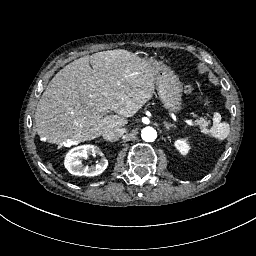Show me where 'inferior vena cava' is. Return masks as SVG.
Masks as SVG:
<instances>
[{
  "instance_id": "inferior-vena-cava-1",
  "label": "inferior vena cava",
  "mask_w": 256,
  "mask_h": 256,
  "mask_svg": "<svg viewBox=\"0 0 256 256\" xmlns=\"http://www.w3.org/2000/svg\"><path fill=\"white\" fill-rule=\"evenodd\" d=\"M124 131L121 128H114L105 131L102 136L105 140L116 141L123 135Z\"/></svg>"
}]
</instances>
